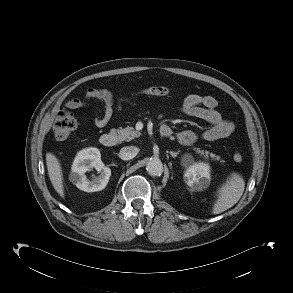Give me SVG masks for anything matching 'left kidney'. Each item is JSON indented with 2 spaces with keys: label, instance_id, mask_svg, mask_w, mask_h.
I'll return each mask as SVG.
<instances>
[{
  "label": "left kidney",
  "instance_id": "1",
  "mask_svg": "<svg viewBox=\"0 0 293 293\" xmlns=\"http://www.w3.org/2000/svg\"><path fill=\"white\" fill-rule=\"evenodd\" d=\"M184 181L191 191H201L210 184V168L205 163H192L186 166Z\"/></svg>",
  "mask_w": 293,
  "mask_h": 293
}]
</instances>
